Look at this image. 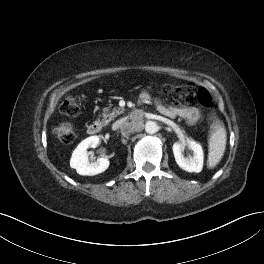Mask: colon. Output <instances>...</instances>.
<instances>
[{
  "label": "colon",
  "instance_id": "1",
  "mask_svg": "<svg viewBox=\"0 0 264 264\" xmlns=\"http://www.w3.org/2000/svg\"><path fill=\"white\" fill-rule=\"evenodd\" d=\"M161 90L171 95L180 104L198 103L205 109L212 111L213 101L211 95L205 89H196L190 83L183 84H162ZM63 114L74 117L79 113V106L74 97H65L60 107ZM210 118L214 124L217 123L215 114L211 112ZM55 137L62 143L69 144L75 139L74 127L69 122H63L53 130Z\"/></svg>",
  "mask_w": 264,
  "mask_h": 264
}]
</instances>
